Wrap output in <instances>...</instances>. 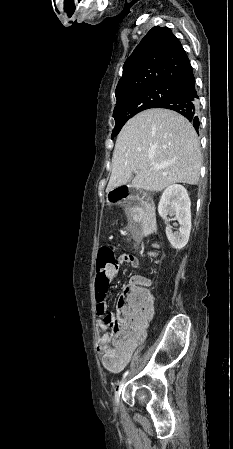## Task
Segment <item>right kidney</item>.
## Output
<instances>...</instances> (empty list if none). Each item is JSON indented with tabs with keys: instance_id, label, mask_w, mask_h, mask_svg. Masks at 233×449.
Masks as SVG:
<instances>
[{
	"instance_id": "1",
	"label": "right kidney",
	"mask_w": 233,
	"mask_h": 449,
	"mask_svg": "<svg viewBox=\"0 0 233 449\" xmlns=\"http://www.w3.org/2000/svg\"><path fill=\"white\" fill-rule=\"evenodd\" d=\"M191 202L187 190L178 184L169 186L163 192L158 212L166 221H170V217L175 216L179 225L178 231L173 232L172 227L167 225L166 235L173 248L180 250L188 242L191 231ZM169 216V217H168Z\"/></svg>"
}]
</instances>
